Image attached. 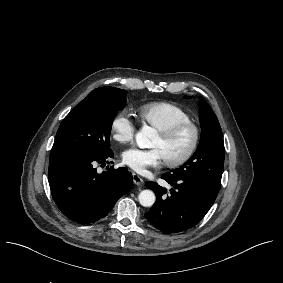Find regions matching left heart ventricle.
<instances>
[{
  "label": "left heart ventricle",
  "mask_w": 283,
  "mask_h": 283,
  "mask_svg": "<svg viewBox=\"0 0 283 283\" xmlns=\"http://www.w3.org/2000/svg\"><path fill=\"white\" fill-rule=\"evenodd\" d=\"M192 140L193 133L191 129H185L170 142H164L158 136L153 144V147L160 149L164 160H174L180 158L186 153L191 146Z\"/></svg>",
  "instance_id": "b2bd125f"
}]
</instances>
